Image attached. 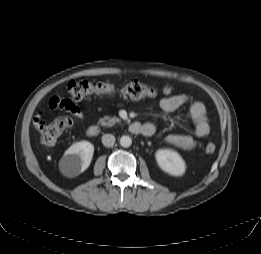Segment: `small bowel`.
Wrapping results in <instances>:
<instances>
[{"label":"small bowel","mask_w":261,"mask_h":254,"mask_svg":"<svg viewBox=\"0 0 261 254\" xmlns=\"http://www.w3.org/2000/svg\"><path fill=\"white\" fill-rule=\"evenodd\" d=\"M188 100V95L185 93L173 94L165 97L160 101V106L165 112H174L185 105ZM49 106H51L49 101ZM58 108H64L69 110L78 119H83V111L74 104H62L58 105ZM189 116L194 123V134H169L167 141L183 150H190L195 147L198 139L206 137L210 132V126L207 120L206 107L200 101H195L189 106ZM39 122V118L36 119ZM145 127H150L149 134L146 136H152L155 133L154 125L150 123L144 124Z\"/></svg>","instance_id":"1"}]
</instances>
